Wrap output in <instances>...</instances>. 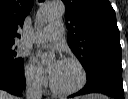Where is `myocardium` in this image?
I'll return each instance as SVG.
<instances>
[{
    "label": "myocardium",
    "instance_id": "obj_1",
    "mask_svg": "<svg viewBox=\"0 0 128 99\" xmlns=\"http://www.w3.org/2000/svg\"><path fill=\"white\" fill-rule=\"evenodd\" d=\"M63 61L74 63L78 67V69L81 73L80 82L73 88L63 90V89L57 88L51 80L50 81V87H51V90L57 95L69 96V95H73V94L79 92L86 85L87 72H86L84 65L81 63V61H79L78 59H76L74 57H67Z\"/></svg>",
    "mask_w": 128,
    "mask_h": 99
}]
</instances>
